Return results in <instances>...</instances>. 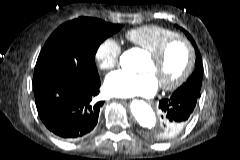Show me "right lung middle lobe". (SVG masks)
Here are the masks:
<instances>
[{"instance_id": "1", "label": "right lung middle lobe", "mask_w": 240, "mask_h": 160, "mask_svg": "<svg viewBox=\"0 0 240 160\" xmlns=\"http://www.w3.org/2000/svg\"><path fill=\"white\" fill-rule=\"evenodd\" d=\"M120 29L121 25L90 17L62 24L51 34L39 54L33 84L50 77L81 84L99 78L94 55L99 45Z\"/></svg>"}]
</instances>
